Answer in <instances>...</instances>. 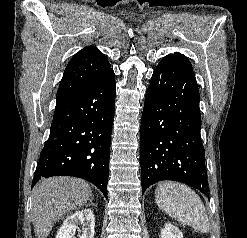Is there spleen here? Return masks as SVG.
<instances>
[{"label": "spleen", "instance_id": "obj_1", "mask_svg": "<svg viewBox=\"0 0 247 238\" xmlns=\"http://www.w3.org/2000/svg\"><path fill=\"white\" fill-rule=\"evenodd\" d=\"M155 200L159 209L177 221L202 233L209 232L205 206L190 187L176 182H163L155 190Z\"/></svg>", "mask_w": 247, "mask_h": 238}]
</instances>
